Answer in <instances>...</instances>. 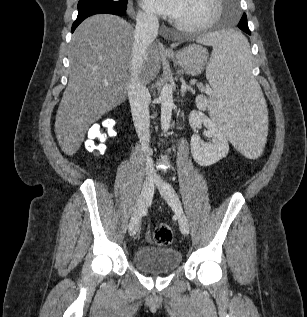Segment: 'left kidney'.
Listing matches in <instances>:
<instances>
[{
	"label": "left kidney",
	"instance_id": "left-kidney-1",
	"mask_svg": "<svg viewBox=\"0 0 307 317\" xmlns=\"http://www.w3.org/2000/svg\"><path fill=\"white\" fill-rule=\"evenodd\" d=\"M189 124L193 129L204 125L212 137V143L210 144L201 140L197 134H193L191 137V153L199 165L210 166L228 154L229 144L227 138L202 111H191L189 114Z\"/></svg>",
	"mask_w": 307,
	"mask_h": 317
}]
</instances>
